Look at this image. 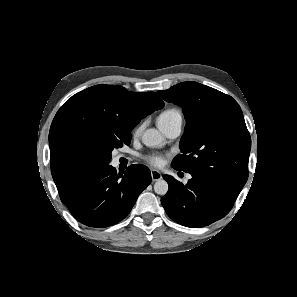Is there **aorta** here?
Here are the masks:
<instances>
[{
  "mask_svg": "<svg viewBox=\"0 0 297 297\" xmlns=\"http://www.w3.org/2000/svg\"><path fill=\"white\" fill-rule=\"evenodd\" d=\"M164 141L162 134L156 129H148L142 135V142L147 147L160 146ZM168 183L163 179H158L154 184V191L158 195H165L168 192Z\"/></svg>",
  "mask_w": 297,
  "mask_h": 297,
  "instance_id": "1",
  "label": "aorta"
}]
</instances>
